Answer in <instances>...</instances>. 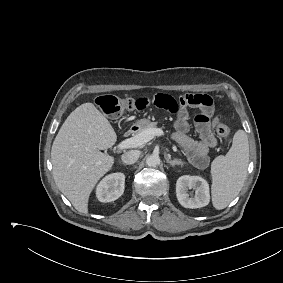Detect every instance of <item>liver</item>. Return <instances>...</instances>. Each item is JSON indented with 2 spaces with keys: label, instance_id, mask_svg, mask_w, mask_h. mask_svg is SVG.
I'll return each mask as SVG.
<instances>
[{
  "label": "liver",
  "instance_id": "1",
  "mask_svg": "<svg viewBox=\"0 0 283 283\" xmlns=\"http://www.w3.org/2000/svg\"><path fill=\"white\" fill-rule=\"evenodd\" d=\"M116 140L113 127L92 103L77 107L54 139V181L80 213L88 212L90 193L114 164V158L100 150L112 147Z\"/></svg>",
  "mask_w": 283,
  "mask_h": 283
}]
</instances>
